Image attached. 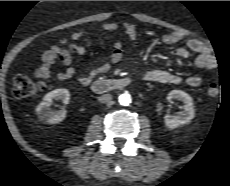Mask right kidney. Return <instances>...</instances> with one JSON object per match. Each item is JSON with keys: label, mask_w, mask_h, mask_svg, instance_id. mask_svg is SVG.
I'll return each instance as SVG.
<instances>
[{"label": "right kidney", "mask_w": 230, "mask_h": 186, "mask_svg": "<svg viewBox=\"0 0 230 186\" xmlns=\"http://www.w3.org/2000/svg\"><path fill=\"white\" fill-rule=\"evenodd\" d=\"M53 99H61L64 104H68L70 100V93L67 89H56L47 93L44 96L43 101L36 108L40 121L55 124L61 122L66 117L65 110L55 111L49 107L52 105Z\"/></svg>", "instance_id": "obj_1"}]
</instances>
